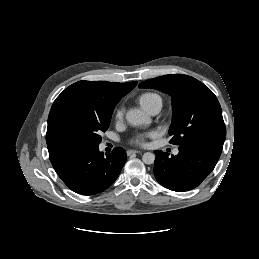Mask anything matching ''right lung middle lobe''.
<instances>
[{
  "label": "right lung middle lobe",
  "instance_id": "dd1d6c3e",
  "mask_svg": "<svg viewBox=\"0 0 259 259\" xmlns=\"http://www.w3.org/2000/svg\"><path fill=\"white\" fill-rule=\"evenodd\" d=\"M112 112L96 111L78 104H64L48 118V146L98 145L110 124Z\"/></svg>",
  "mask_w": 259,
  "mask_h": 259
}]
</instances>
